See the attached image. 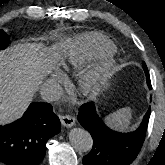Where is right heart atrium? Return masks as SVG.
Instances as JSON below:
<instances>
[{"label":"right heart atrium","mask_w":165,"mask_h":165,"mask_svg":"<svg viewBox=\"0 0 165 165\" xmlns=\"http://www.w3.org/2000/svg\"><path fill=\"white\" fill-rule=\"evenodd\" d=\"M54 79H55L56 81H62V76H61L59 73H57V74L54 76Z\"/></svg>","instance_id":"d8ad5b80"}]
</instances>
